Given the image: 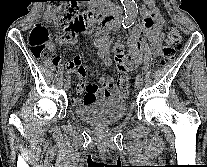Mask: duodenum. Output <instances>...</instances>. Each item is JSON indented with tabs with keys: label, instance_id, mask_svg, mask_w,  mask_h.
I'll use <instances>...</instances> for the list:
<instances>
[{
	"label": "duodenum",
	"instance_id": "410a0bca",
	"mask_svg": "<svg viewBox=\"0 0 207 167\" xmlns=\"http://www.w3.org/2000/svg\"><path fill=\"white\" fill-rule=\"evenodd\" d=\"M95 1V0H89ZM121 16L115 11H110L106 9L104 5L94 4V7L87 13V23L88 25H94L100 21L101 27L106 25L107 31L110 29L120 28Z\"/></svg>",
	"mask_w": 207,
	"mask_h": 167
}]
</instances>
